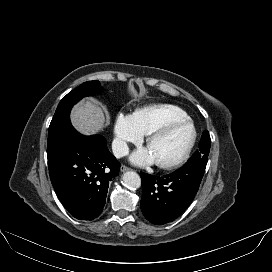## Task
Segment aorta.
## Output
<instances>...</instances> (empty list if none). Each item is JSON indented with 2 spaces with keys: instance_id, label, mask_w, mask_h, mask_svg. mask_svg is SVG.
Returning a JSON list of instances; mask_svg holds the SVG:
<instances>
[{
  "instance_id": "aorta-1",
  "label": "aorta",
  "mask_w": 272,
  "mask_h": 272,
  "mask_svg": "<svg viewBox=\"0 0 272 272\" xmlns=\"http://www.w3.org/2000/svg\"><path fill=\"white\" fill-rule=\"evenodd\" d=\"M122 183L129 189H137L141 186V178L136 172L128 171L123 174Z\"/></svg>"
}]
</instances>
